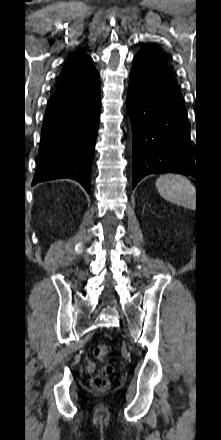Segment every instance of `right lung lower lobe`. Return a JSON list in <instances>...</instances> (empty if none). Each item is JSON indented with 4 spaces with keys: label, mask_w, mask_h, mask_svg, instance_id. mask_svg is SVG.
<instances>
[{
    "label": "right lung lower lobe",
    "mask_w": 221,
    "mask_h": 440,
    "mask_svg": "<svg viewBox=\"0 0 221 440\" xmlns=\"http://www.w3.org/2000/svg\"><path fill=\"white\" fill-rule=\"evenodd\" d=\"M100 110L98 79L55 90L46 109L38 151L40 161L32 185L70 178L90 192Z\"/></svg>",
    "instance_id": "right-lung-lower-lobe-1"
}]
</instances>
